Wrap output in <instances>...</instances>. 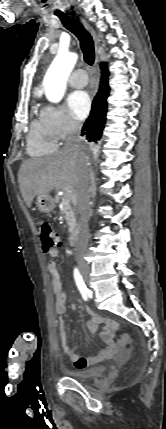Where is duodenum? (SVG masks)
Listing matches in <instances>:
<instances>
[{
	"label": "duodenum",
	"instance_id": "obj_1",
	"mask_svg": "<svg viewBox=\"0 0 166 429\" xmlns=\"http://www.w3.org/2000/svg\"><path fill=\"white\" fill-rule=\"evenodd\" d=\"M79 234H80V230L79 229H76V230H74L71 233V235L69 237V244H70V246L73 247V246H75L77 244L78 239H79Z\"/></svg>",
	"mask_w": 166,
	"mask_h": 429
}]
</instances>
